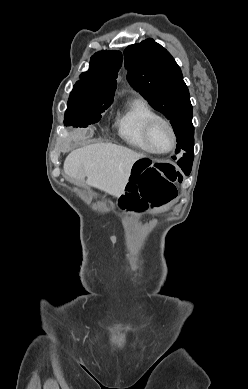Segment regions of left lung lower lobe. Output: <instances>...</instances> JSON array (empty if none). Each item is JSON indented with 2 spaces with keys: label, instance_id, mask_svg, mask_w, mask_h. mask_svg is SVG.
Here are the masks:
<instances>
[{
  "label": "left lung lower lobe",
  "instance_id": "0a47b994",
  "mask_svg": "<svg viewBox=\"0 0 248 389\" xmlns=\"http://www.w3.org/2000/svg\"><path fill=\"white\" fill-rule=\"evenodd\" d=\"M189 129L192 134H194V127L192 125V122L189 123ZM194 153L193 151L184 153L183 156L177 161V164L182 169V171L185 173V175H189L192 168Z\"/></svg>",
  "mask_w": 248,
  "mask_h": 389
}]
</instances>
